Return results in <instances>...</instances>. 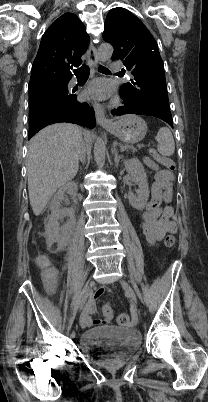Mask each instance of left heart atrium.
I'll return each mask as SVG.
<instances>
[{
	"mask_svg": "<svg viewBox=\"0 0 208 402\" xmlns=\"http://www.w3.org/2000/svg\"><path fill=\"white\" fill-rule=\"evenodd\" d=\"M113 91L112 85L106 79H95L84 89L82 96L86 100H102Z\"/></svg>",
	"mask_w": 208,
	"mask_h": 402,
	"instance_id": "39dd6f15",
	"label": "left heart atrium"
}]
</instances>
